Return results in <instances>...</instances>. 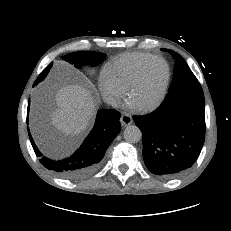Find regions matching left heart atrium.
<instances>
[{"instance_id": "39dd6f15", "label": "left heart atrium", "mask_w": 231, "mask_h": 231, "mask_svg": "<svg viewBox=\"0 0 231 231\" xmlns=\"http://www.w3.org/2000/svg\"><path fill=\"white\" fill-rule=\"evenodd\" d=\"M128 106H129L130 108H132V109L138 108V105H137L136 103L132 102V101L129 102Z\"/></svg>"}]
</instances>
